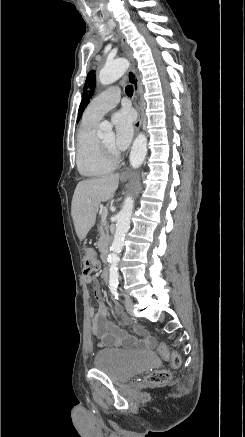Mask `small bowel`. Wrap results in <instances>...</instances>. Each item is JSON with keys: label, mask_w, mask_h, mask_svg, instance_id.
Masks as SVG:
<instances>
[{"label": "small bowel", "mask_w": 245, "mask_h": 437, "mask_svg": "<svg viewBox=\"0 0 245 437\" xmlns=\"http://www.w3.org/2000/svg\"><path fill=\"white\" fill-rule=\"evenodd\" d=\"M86 283H93L94 296L97 301V309L92 316V334L100 340V346L112 345L126 349L146 348L152 340L146 333L139 328L135 331L138 337L128 334L125 330L112 323L108 319L109 310L104 303V294L98 281L91 276H85ZM114 313L119 315L123 324L129 323V318L123 314L122 308L118 303L114 304Z\"/></svg>", "instance_id": "obj_1"}]
</instances>
